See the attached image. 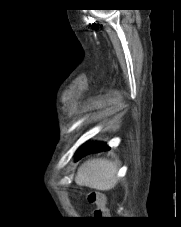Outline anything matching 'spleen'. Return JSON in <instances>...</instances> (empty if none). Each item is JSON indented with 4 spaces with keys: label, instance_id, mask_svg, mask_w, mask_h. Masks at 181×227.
Wrapping results in <instances>:
<instances>
[{
    "label": "spleen",
    "instance_id": "3e777b00",
    "mask_svg": "<svg viewBox=\"0 0 181 227\" xmlns=\"http://www.w3.org/2000/svg\"><path fill=\"white\" fill-rule=\"evenodd\" d=\"M117 165L106 159H92L82 164L75 182L96 190H110L115 187Z\"/></svg>",
    "mask_w": 181,
    "mask_h": 227
}]
</instances>
